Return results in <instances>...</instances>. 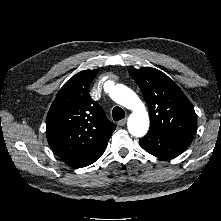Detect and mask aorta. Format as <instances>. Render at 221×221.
<instances>
[{
	"label": "aorta",
	"instance_id": "1",
	"mask_svg": "<svg viewBox=\"0 0 221 221\" xmlns=\"http://www.w3.org/2000/svg\"><path fill=\"white\" fill-rule=\"evenodd\" d=\"M109 95L114 102L132 111L127 123L129 133L135 137L144 136L149 129V115L136 93L127 86L117 84Z\"/></svg>",
	"mask_w": 221,
	"mask_h": 221
}]
</instances>
